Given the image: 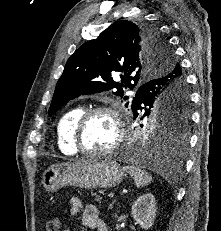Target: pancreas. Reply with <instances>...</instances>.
<instances>
[{"mask_svg":"<svg viewBox=\"0 0 221 231\" xmlns=\"http://www.w3.org/2000/svg\"><path fill=\"white\" fill-rule=\"evenodd\" d=\"M92 196H95V198H96L97 201L101 200V196L97 195V193H92Z\"/></svg>","mask_w":221,"mask_h":231,"instance_id":"cf45deb5","label":"pancreas"}]
</instances>
